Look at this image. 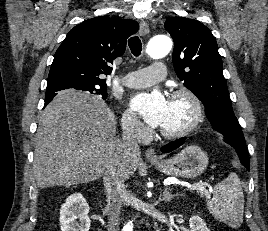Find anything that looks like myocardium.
Returning <instances> with one entry per match:
<instances>
[{"instance_id": "1", "label": "myocardium", "mask_w": 268, "mask_h": 231, "mask_svg": "<svg viewBox=\"0 0 268 231\" xmlns=\"http://www.w3.org/2000/svg\"><path fill=\"white\" fill-rule=\"evenodd\" d=\"M175 98H184L188 100L192 105L193 114L191 120L183 128L177 131H166L159 128L158 133L167 139L181 138L190 134L193 130H195L199 126L200 122L203 119L204 114L201 100L191 90L187 88L175 90L172 93H170L169 99H175Z\"/></svg>"}]
</instances>
